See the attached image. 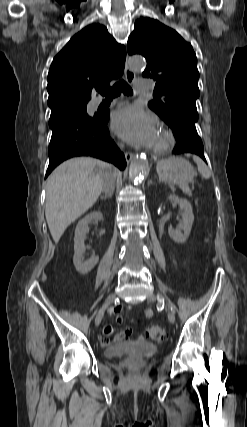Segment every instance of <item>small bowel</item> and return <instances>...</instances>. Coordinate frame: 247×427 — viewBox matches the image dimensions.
<instances>
[{"label":"small bowel","instance_id":"small-bowel-1","mask_svg":"<svg viewBox=\"0 0 247 427\" xmlns=\"http://www.w3.org/2000/svg\"><path fill=\"white\" fill-rule=\"evenodd\" d=\"M174 263H175V261H174ZM121 310H122L121 307H117L116 310H115V313H116L115 314V320H116L117 323H121L122 320H123V317L121 315ZM152 314L153 313H152L151 309H147L146 312H145V316L147 318H150L152 316ZM132 333H133V329L130 328V327H128L124 331L115 334L114 335V341L120 342V341H123V340H127V339H129L131 337ZM103 334H104V337L102 339V344L103 345H107L110 342V337L114 334V329H113L112 325L105 324L104 327H103ZM143 338H144L143 336H138L137 337L138 340H142Z\"/></svg>","mask_w":247,"mask_h":427}]
</instances>
